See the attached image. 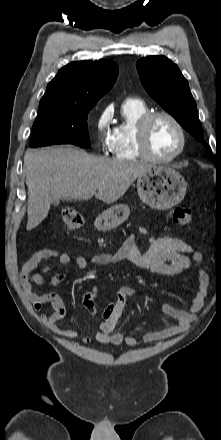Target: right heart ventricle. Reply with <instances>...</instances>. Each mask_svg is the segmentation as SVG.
Here are the masks:
<instances>
[{
  "instance_id": "obj_1",
  "label": "right heart ventricle",
  "mask_w": 221,
  "mask_h": 440,
  "mask_svg": "<svg viewBox=\"0 0 221 440\" xmlns=\"http://www.w3.org/2000/svg\"><path fill=\"white\" fill-rule=\"evenodd\" d=\"M150 112L148 106L139 99H126L121 107L122 121L113 129L110 150L117 160L142 158L137 146L136 127L139 120Z\"/></svg>"
}]
</instances>
